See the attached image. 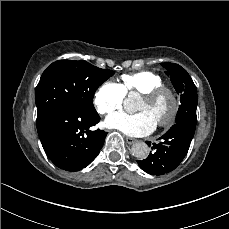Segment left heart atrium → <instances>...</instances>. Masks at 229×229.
I'll use <instances>...</instances> for the list:
<instances>
[{
	"mask_svg": "<svg viewBox=\"0 0 229 229\" xmlns=\"http://www.w3.org/2000/svg\"><path fill=\"white\" fill-rule=\"evenodd\" d=\"M105 125L131 136H144L153 131L156 122L144 111L135 114L117 112L106 118Z\"/></svg>",
	"mask_w": 229,
	"mask_h": 229,
	"instance_id": "1",
	"label": "left heart atrium"
}]
</instances>
